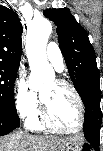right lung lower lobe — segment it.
Instances as JSON below:
<instances>
[{
	"instance_id": "right-lung-lower-lobe-1",
	"label": "right lung lower lobe",
	"mask_w": 103,
	"mask_h": 151,
	"mask_svg": "<svg viewBox=\"0 0 103 151\" xmlns=\"http://www.w3.org/2000/svg\"><path fill=\"white\" fill-rule=\"evenodd\" d=\"M19 119L0 112V136L10 133L19 126Z\"/></svg>"
}]
</instances>
